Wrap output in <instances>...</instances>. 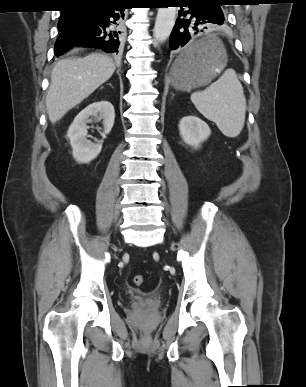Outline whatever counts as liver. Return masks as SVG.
<instances>
[{
    "label": "liver",
    "instance_id": "obj_1",
    "mask_svg": "<svg viewBox=\"0 0 306 387\" xmlns=\"http://www.w3.org/2000/svg\"><path fill=\"white\" fill-rule=\"evenodd\" d=\"M115 69L113 60L101 53L58 61L52 70L46 97L49 120L52 123L59 121L110 79Z\"/></svg>",
    "mask_w": 306,
    "mask_h": 387
}]
</instances>
